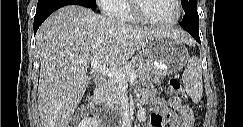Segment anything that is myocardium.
Returning <instances> with one entry per match:
<instances>
[{
  "label": "myocardium",
  "instance_id": "obj_1",
  "mask_svg": "<svg viewBox=\"0 0 243 127\" xmlns=\"http://www.w3.org/2000/svg\"><path fill=\"white\" fill-rule=\"evenodd\" d=\"M176 7H177V15L174 19L170 21H157L149 16H147L142 9L141 2L142 0H132L131 7L133 14L138 18L140 22H143L145 24H149L152 26H158V27H170L176 25L182 16L183 13V7L181 0H173Z\"/></svg>",
  "mask_w": 243,
  "mask_h": 127
}]
</instances>
